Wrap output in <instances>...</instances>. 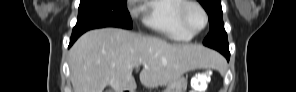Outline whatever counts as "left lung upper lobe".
<instances>
[{
    "mask_svg": "<svg viewBox=\"0 0 296 92\" xmlns=\"http://www.w3.org/2000/svg\"><path fill=\"white\" fill-rule=\"evenodd\" d=\"M209 16L210 32L203 44L218 51L229 50L220 0H198Z\"/></svg>",
    "mask_w": 296,
    "mask_h": 92,
    "instance_id": "1",
    "label": "left lung upper lobe"
}]
</instances>
